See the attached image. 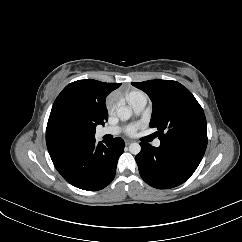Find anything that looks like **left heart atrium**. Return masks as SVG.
Returning <instances> with one entry per match:
<instances>
[{"label":"left heart atrium","instance_id":"left-heart-atrium-1","mask_svg":"<svg viewBox=\"0 0 242 242\" xmlns=\"http://www.w3.org/2000/svg\"><path fill=\"white\" fill-rule=\"evenodd\" d=\"M134 133H135V129L134 128L129 130V134H134Z\"/></svg>","mask_w":242,"mask_h":242}]
</instances>
